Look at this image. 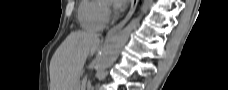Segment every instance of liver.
I'll return each instance as SVG.
<instances>
[{
	"instance_id": "obj_1",
	"label": "liver",
	"mask_w": 228,
	"mask_h": 90,
	"mask_svg": "<svg viewBox=\"0 0 228 90\" xmlns=\"http://www.w3.org/2000/svg\"><path fill=\"white\" fill-rule=\"evenodd\" d=\"M99 44L98 34L83 31L70 33L51 59V90H76L83 66Z\"/></svg>"
}]
</instances>
